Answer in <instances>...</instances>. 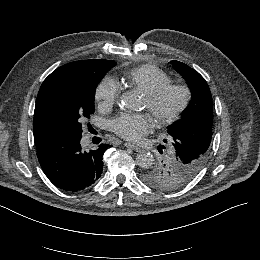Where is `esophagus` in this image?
<instances>
[{"mask_svg":"<svg viewBox=\"0 0 260 260\" xmlns=\"http://www.w3.org/2000/svg\"><path fill=\"white\" fill-rule=\"evenodd\" d=\"M125 146H126V147H129V148H131V149H133V150L136 151V152H140V151H141V148L138 147L136 144H134V143H132V142H126V143H125Z\"/></svg>","mask_w":260,"mask_h":260,"instance_id":"34e87169","label":"esophagus"}]
</instances>
